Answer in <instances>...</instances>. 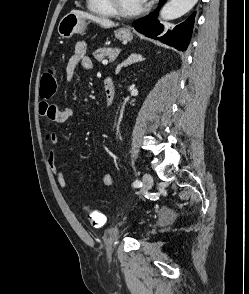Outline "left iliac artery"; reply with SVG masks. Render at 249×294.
I'll list each match as a JSON object with an SVG mask.
<instances>
[{"mask_svg":"<svg viewBox=\"0 0 249 294\" xmlns=\"http://www.w3.org/2000/svg\"><path fill=\"white\" fill-rule=\"evenodd\" d=\"M134 187L138 188V187H142V182L139 181V180H136L134 183H133Z\"/></svg>","mask_w":249,"mask_h":294,"instance_id":"obj_1","label":"left iliac artery"}]
</instances>
